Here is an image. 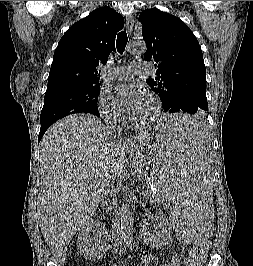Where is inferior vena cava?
I'll list each match as a JSON object with an SVG mask.
<instances>
[{
	"label": "inferior vena cava",
	"instance_id": "obj_1",
	"mask_svg": "<svg viewBox=\"0 0 253 266\" xmlns=\"http://www.w3.org/2000/svg\"><path fill=\"white\" fill-rule=\"evenodd\" d=\"M105 123H106V134L114 139L120 138L121 128L117 126V118L113 115H105ZM112 183H114V179H112ZM106 204L107 200H111L114 202L116 200V193L114 191H107L105 194ZM115 222L114 225L116 228L118 225V210H115Z\"/></svg>",
	"mask_w": 253,
	"mask_h": 266
}]
</instances>
